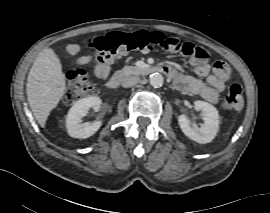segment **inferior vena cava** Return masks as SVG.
Wrapping results in <instances>:
<instances>
[{"instance_id": "602c4592", "label": "inferior vena cava", "mask_w": 270, "mask_h": 213, "mask_svg": "<svg viewBox=\"0 0 270 213\" xmlns=\"http://www.w3.org/2000/svg\"><path fill=\"white\" fill-rule=\"evenodd\" d=\"M139 82H140V78L139 77L128 76V77H125L122 80L121 85L126 88V87L134 86V85L138 84Z\"/></svg>"}]
</instances>
